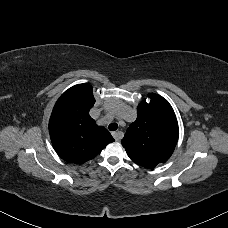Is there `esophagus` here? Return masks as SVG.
Instances as JSON below:
<instances>
[{"label": "esophagus", "mask_w": 228, "mask_h": 228, "mask_svg": "<svg viewBox=\"0 0 228 228\" xmlns=\"http://www.w3.org/2000/svg\"><path fill=\"white\" fill-rule=\"evenodd\" d=\"M112 135L116 141H119L123 137V132L122 131L113 132Z\"/></svg>", "instance_id": "obj_1"}]
</instances>
